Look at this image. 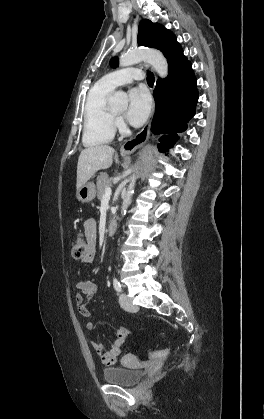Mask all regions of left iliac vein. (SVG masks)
<instances>
[{
    "label": "left iliac vein",
    "instance_id": "left-iliac-vein-1",
    "mask_svg": "<svg viewBox=\"0 0 264 419\" xmlns=\"http://www.w3.org/2000/svg\"><path fill=\"white\" fill-rule=\"evenodd\" d=\"M119 303L126 311L135 312L138 310V307L132 303V300L125 293L120 294Z\"/></svg>",
    "mask_w": 264,
    "mask_h": 419
}]
</instances>
